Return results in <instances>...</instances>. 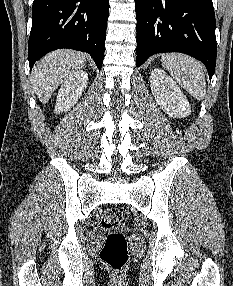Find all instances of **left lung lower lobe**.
I'll list each match as a JSON object with an SVG mask.
<instances>
[{
    "label": "left lung lower lobe",
    "instance_id": "obj_1",
    "mask_svg": "<svg viewBox=\"0 0 233 286\" xmlns=\"http://www.w3.org/2000/svg\"><path fill=\"white\" fill-rule=\"evenodd\" d=\"M135 11L137 67L153 54L181 52L204 63L212 78L217 55L212 0H135Z\"/></svg>",
    "mask_w": 233,
    "mask_h": 286
}]
</instances>
